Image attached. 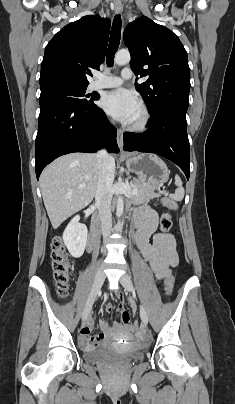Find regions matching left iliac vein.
<instances>
[{
  "label": "left iliac vein",
  "instance_id": "4c4485c4",
  "mask_svg": "<svg viewBox=\"0 0 235 404\" xmlns=\"http://www.w3.org/2000/svg\"><path fill=\"white\" fill-rule=\"evenodd\" d=\"M120 282H121L122 286L125 288V290H127L129 292L134 291V287H133V284H132V281H131V278L129 277V275H127V274L122 275L120 278ZM140 317H141L143 324L147 325L148 316H147V312L143 306L140 307Z\"/></svg>",
  "mask_w": 235,
  "mask_h": 404
}]
</instances>
